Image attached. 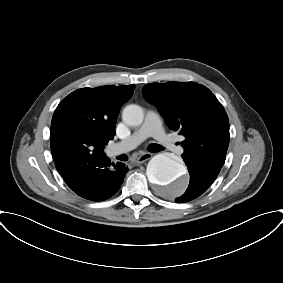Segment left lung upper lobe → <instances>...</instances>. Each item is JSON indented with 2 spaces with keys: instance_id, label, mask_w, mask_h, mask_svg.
<instances>
[{
  "instance_id": "obj_1",
  "label": "left lung upper lobe",
  "mask_w": 283,
  "mask_h": 283,
  "mask_svg": "<svg viewBox=\"0 0 283 283\" xmlns=\"http://www.w3.org/2000/svg\"><path fill=\"white\" fill-rule=\"evenodd\" d=\"M169 127L185 137L182 158L200 170L218 175L229 145L228 116L213 93L195 82L153 83L143 89Z\"/></svg>"
}]
</instances>
